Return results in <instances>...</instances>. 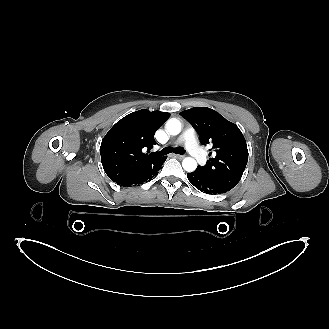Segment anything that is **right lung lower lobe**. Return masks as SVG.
I'll use <instances>...</instances> for the list:
<instances>
[{
	"label": "right lung lower lobe",
	"instance_id": "1",
	"mask_svg": "<svg viewBox=\"0 0 329 329\" xmlns=\"http://www.w3.org/2000/svg\"><path fill=\"white\" fill-rule=\"evenodd\" d=\"M165 160H166V157H163L158 162H156V164H154L151 168H149L147 171H145L140 176H138L126 183L120 184V185L125 186V187H131V186L143 184L144 182L151 180L154 176H156L158 174V171L160 170V168Z\"/></svg>",
	"mask_w": 329,
	"mask_h": 329
}]
</instances>
